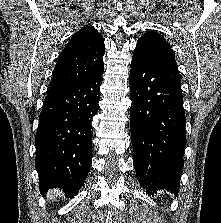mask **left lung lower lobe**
Instances as JSON below:
<instances>
[{
    "label": "left lung lower lobe",
    "mask_w": 221,
    "mask_h": 223,
    "mask_svg": "<svg viewBox=\"0 0 221 223\" xmlns=\"http://www.w3.org/2000/svg\"><path fill=\"white\" fill-rule=\"evenodd\" d=\"M129 83L137 179L149 194L160 189L177 194L186 145L178 67L135 50Z\"/></svg>",
    "instance_id": "obj_1"
}]
</instances>
